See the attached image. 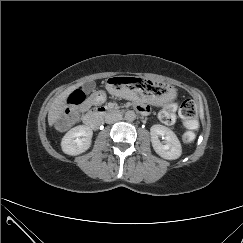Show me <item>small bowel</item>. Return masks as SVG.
<instances>
[{
  "label": "small bowel",
  "instance_id": "1",
  "mask_svg": "<svg viewBox=\"0 0 243 243\" xmlns=\"http://www.w3.org/2000/svg\"><path fill=\"white\" fill-rule=\"evenodd\" d=\"M106 99V96L103 92H96L94 93L86 102V106H92V105H99L102 104ZM136 109L144 114H147L149 112V108L143 104L138 103L136 105Z\"/></svg>",
  "mask_w": 243,
  "mask_h": 243
}]
</instances>
